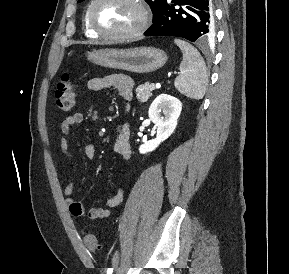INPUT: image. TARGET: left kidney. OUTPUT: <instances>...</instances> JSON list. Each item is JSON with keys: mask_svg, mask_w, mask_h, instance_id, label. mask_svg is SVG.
I'll use <instances>...</instances> for the list:
<instances>
[{"mask_svg": "<svg viewBox=\"0 0 289 274\" xmlns=\"http://www.w3.org/2000/svg\"><path fill=\"white\" fill-rule=\"evenodd\" d=\"M182 110L179 99L167 94L159 95L151 104L148 114L157 127L155 139L149 140L139 147V152L145 154L155 150L174 132ZM164 115V116H163Z\"/></svg>", "mask_w": 289, "mask_h": 274, "instance_id": "obj_1", "label": "left kidney"}]
</instances>
